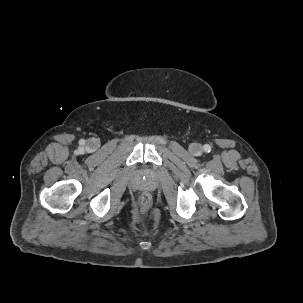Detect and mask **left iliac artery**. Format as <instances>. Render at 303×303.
<instances>
[{
  "label": "left iliac artery",
  "instance_id": "1",
  "mask_svg": "<svg viewBox=\"0 0 303 303\" xmlns=\"http://www.w3.org/2000/svg\"><path fill=\"white\" fill-rule=\"evenodd\" d=\"M203 148H204V151H205V152H208V153H209V152L211 151V146L208 145V144L204 145Z\"/></svg>",
  "mask_w": 303,
  "mask_h": 303
}]
</instances>
